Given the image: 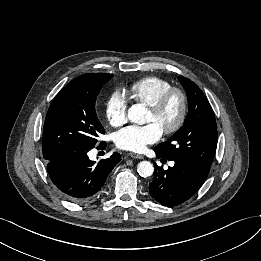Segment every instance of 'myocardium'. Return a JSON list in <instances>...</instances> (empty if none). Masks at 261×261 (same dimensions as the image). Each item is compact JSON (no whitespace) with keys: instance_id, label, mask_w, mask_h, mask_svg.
I'll use <instances>...</instances> for the list:
<instances>
[{"instance_id":"myocardium-1","label":"myocardium","mask_w":261,"mask_h":261,"mask_svg":"<svg viewBox=\"0 0 261 261\" xmlns=\"http://www.w3.org/2000/svg\"><path fill=\"white\" fill-rule=\"evenodd\" d=\"M173 98H178L180 110L175 122L171 126L162 129V132L166 135H171L179 131L186 120L188 112V99L186 93L181 88L172 87L165 92L154 105L149 107V111L154 116L158 117L165 111Z\"/></svg>"}]
</instances>
